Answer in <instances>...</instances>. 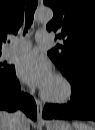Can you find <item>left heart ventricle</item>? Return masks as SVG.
Here are the masks:
<instances>
[{"label":"left heart ventricle","mask_w":95,"mask_h":130,"mask_svg":"<svg viewBox=\"0 0 95 130\" xmlns=\"http://www.w3.org/2000/svg\"><path fill=\"white\" fill-rule=\"evenodd\" d=\"M44 90L48 95L59 96L63 93L64 87L59 80L53 77L49 84L44 88Z\"/></svg>","instance_id":"obj_1"}]
</instances>
